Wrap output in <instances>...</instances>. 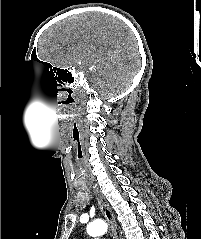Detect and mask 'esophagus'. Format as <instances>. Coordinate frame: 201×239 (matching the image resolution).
<instances>
[{"mask_svg":"<svg viewBox=\"0 0 201 239\" xmlns=\"http://www.w3.org/2000/svg\"><path fill=\"white\" fill-rule=\"evenodd\" d=\"M93 190L98 199L100 208L108 222V225L112 233L114 234V239H117V224H116L115 216L111 210V207L109 206L107 200L105 199V197L103 196V194L100 192L98 188H94Z\"/></svg>","mask_w":201,"mask_h":239,"instance_id":"34e87169","label":"esophagus"}]
</instances>
